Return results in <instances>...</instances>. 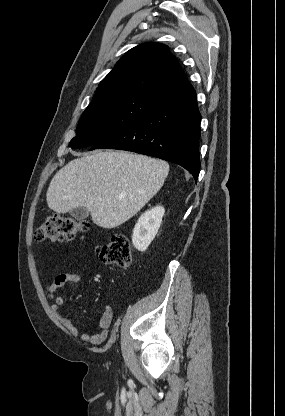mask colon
Masks as SVG:
<instances>
[{
  "label": "colon",
  "mask_w": 285,
  "mask_h": 416,
  "mask_svg": "<svg viewBox=\"0 0 285 416\" xmlns=\"http://www.w3.org/2000/svg\"><path fill=\"white\" fill-rule=\"evenodd\" d=\"M89 227L85 220L55 214L48 216L38 227L35 237L39 241H71L87 232ZM99 253L101 260L109 265L127 267L131 263L129 241L123 234H114Z\"/></svg>",
  "instance_id": "colon-1"
}]
</instances>
